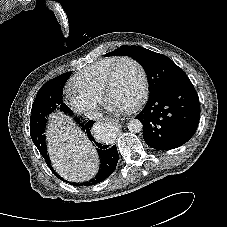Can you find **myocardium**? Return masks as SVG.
I'll list each match as a JSON object with an SVG mask.
<instances>
[{
    "label": "myocardium",
    "instance_id": "1",
    "mask_svg": "<svg viewBox=\"0 0 227 227\" xmlns=\"http://www.w3.org/2000/svg\"><path fill=\"white\" fill-rule=\"evenodd\" d=\"M125 61L133 63L138 68L140 75H141V81H142L141 91H140L137 99L135 100V102L129 107V110H133L142 104V102L144 101V99L147 96L148 88H149L147 72H146L144 66L134 57L122 56V57L118 58L117 61L112 65V67L110 68V70L107 74V77L104 81V84H103L102 98L107 105L110 104L109 94H110L112 85L114 83L116 72H117L119 66L121 65V63H123Z\"/></svg>",
    "mask_w": 227,
    "mask_h": 227
}]
</instances>
